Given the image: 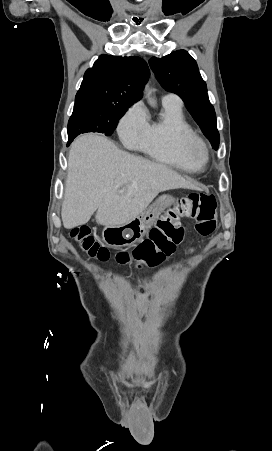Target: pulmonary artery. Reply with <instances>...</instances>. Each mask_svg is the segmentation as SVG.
Listing matches in <instances>:
<instances>
[{
  "label": "pulmonary artery",
  "mask_w": 272,
  "mask_h": 451,
  "mask_svg": "<svg viewBox=\"0 0 272 451\" xmlns=\"http://www.w3.org/2000/svg\"><path fill=\"white\" fill-rule=\"evenodd\" d=\"M163 104H170L174 107L181 108L182 107V101L181 99L174 94H166L162 97Z\"/></svg>",
  "instance_id": "obj_1"
}]
</instances>
